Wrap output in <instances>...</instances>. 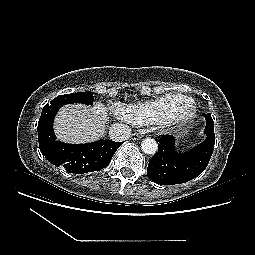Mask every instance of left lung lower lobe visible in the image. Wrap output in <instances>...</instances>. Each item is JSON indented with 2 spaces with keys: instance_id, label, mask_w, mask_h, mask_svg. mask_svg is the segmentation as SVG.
<instances>
[{
  "instance_id": "obj_1",
  "label": "left lung lower lobe",
  "mask_w": 255,
  "mask_h": 255,
  "mask_svg": "<svg viewBox=\"0 0 255 255\" xmlns=\"http://www.w3.org/2000/svg\"><path fill=\"white\" fill-rule=\"evenodd\" d=\"M206 139L186 153L175 149V137L161 135L158 151L149 161L147 176L160 185H174L188 182L207 167L215 144L214 123L211 114L206 115Z\"/></svg>"
}]
</instances>
